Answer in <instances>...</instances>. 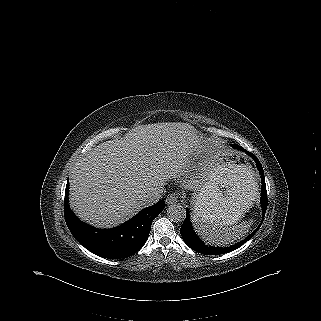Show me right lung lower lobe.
I'll list each match as a JSON object with an SVG mask.
<instances>
[{
    "mask_svg": "<svg viewBox=\"0 0 321 321\" xmlns=\"http://www.w3.org/2000/svg\"><path fill=\"white\" fill-rule=\"evenodd\" d=\"M69 181L65 190V220L75 239L94 254L109 259L126 258L135 254L145 244L153 219L165 208L159 201L144 208L120 226L97 229L79 220L68 205Z\"/></svg>",
    "mask_w": 321,
    "mask_h": 321,
    "instance_id": "98d812e1",
    "label": "right lung lower lobe"
}]
</instances>
